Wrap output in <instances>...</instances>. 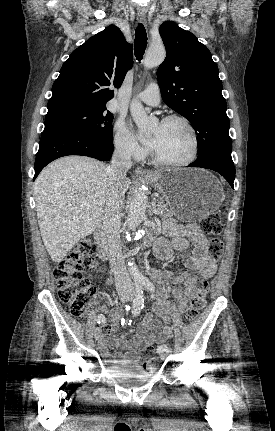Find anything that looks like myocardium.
I'll use <instances>...</instances> for the list:
<instances>
[{
  "mask_svg": "<svg viewBox=\"0 0 275 431\" xmlns=\"http://www.w3.org/2000/svg\"><path fill=\"white\" fill-rule=\"evenodd\" d=\"M171 122L182 123L186 127L188 132L190 133V136L192 139L191 153H190L189 157L183 161L170 162V161H166V160L162 159L161 157H159L158 154L155 152V150L152 149V151H151L152 160L155 164L162 166V167H166V168H181V167L188 166L196 160L198 153H199L198 134H197L195 128L193 127V125L190 123V121L183 116H180V115L167 116L161 121V124H167V123H171Z\"/></svg>",
  "mask_w": 275,
  "mask_h": 431,
  "instance_id": "obj_1",
  "label": "myocardium"
}]
</instances>
